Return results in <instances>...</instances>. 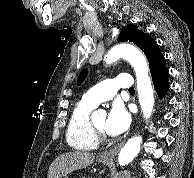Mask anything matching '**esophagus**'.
<instances>
[{
    "label": "esophagus",
    "mask_w": 194,
    "mask_h": 178,
    "mask_svg": "<svg viewBox=\"0 0 194 178\" xmlns=\"http://www.w3.org/2000/svg\"><path fill=\"white\" fill-rule=\"evenodd\" d=\"M124 141L119 143L117 146H115L114 148L105 151L104 153L101 154V158L102 159H112L115 157V155L118 153V151L121 149V147L123 146Z\"/></svg>",
    "instance_id": "obj_1"
}]
</instances>
